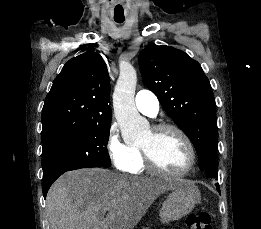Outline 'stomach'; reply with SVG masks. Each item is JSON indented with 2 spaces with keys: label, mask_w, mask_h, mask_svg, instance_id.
<instances>
[{
  "label": "stomach",
  "mask_w": 261,
  "mask_h": 229,
  "mask_svg": "<svg viewBox=\"0 0 261 229\" xmlns=\"http://www.w3.org/2000/svg\"><path fill=\"white\" fill-rule=\"evenodd\" d=\"M172 193L164 201L160 211L162 221H178L193 211L199 203L200 191L192 181L187 179H172Z\"/></svg>",
  "instance_id": "stomach-1"
}]
</instances>
